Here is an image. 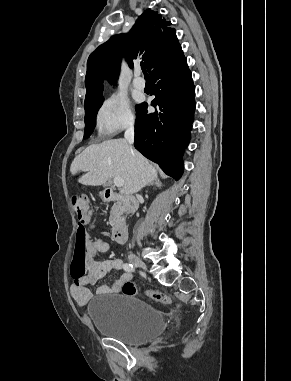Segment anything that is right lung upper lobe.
I'll return each instance as SVG.
<instances>
[{
	"label": "right lung upper lobe",
	"mask_w": 291,
	"mask_h": 381,
	"mask_svg": "<svg viewBox=\"0 0 291 381\" xmlns=\"http://www.w3.org/2000/svg\"><path fill=\"white\" fill-rule=\"evenodd\" d=\"M170 25L171 22L165 21L162 15L148 9L129 34L115 35L100 45L87 61L85 104L102 96L104 79L112 82L117 79L121 56L127 59L131 68L134 60L142 59L151 74L176 55L181 46Z\"/></svg>",
	"instance_id": "cb5924a9"
}]
</instances>
